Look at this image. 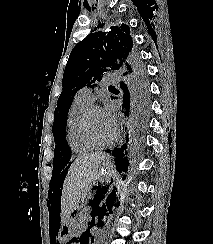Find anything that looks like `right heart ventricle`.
I'll return each mask as SVG.
<instances>
[{
	"label": "right heart ventricle",
	"instance_id": "1",
	"mask_svg": "<svg viewBox=\"0 0 213 244\" xmlns=\"http://www.w3.org/2000/svg\"><path fill=\"white\" fill-rule=\"evenodd\" d=\"M92 102L76 95L69 109L66 120V138L70 148L76 153H86L95 148L84 135L82 129L83 115Z\"/></svg>",
	"mask_w": 213,
	"mask_h": 244
}]
</instances>
